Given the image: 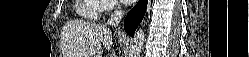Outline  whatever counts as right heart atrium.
I'll return each mask as SVG.
<instances>
[{
	"mask_svg": "<svg viewBox=\"0 0 249 57\" xmlns=\"http://www.w3.org/2000/svg\"><path fill=\"white\" fill-rule=\"evenodd\" d=\"M100 3V11L110 13L117 9L118 3L116 0H98Z\"/></svg>",
	"mask_w": 249,
	"mask_h": 57,
	"instance_id": "obj_1",
	"label": "right heart atrium"
}]
</instances>
